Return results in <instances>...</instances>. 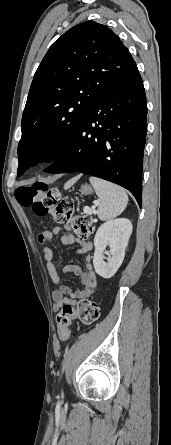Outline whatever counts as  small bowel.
Instances as JSON below:
<instances>
[{
	"label": "small bowel",
	"mask_w": 171,
	"mask_h": 445,
	"mask_svg": "<svg viewBox=\"0 0 171 445\" xmlns=\"http://www.w3.org/2000/svg\"><path fill=\"white\" fill-rule=\"evenodd\" d=\"M67 233L61 236V243L63 245H71L75 242V237L69 231V227L64 228ZM63 229L61 227H53L51 230L45 231L39 237L40 242H51L54 238L62 233ZM82 246L80 254L84 255V260L86 264V269H83L79 265L68 264L64 267L63 272L66 274H74L80 278L81 285L83 286L82 290L72 291L68 286H66L60 275L58 274L55 264H54V255L51 249L45 247L43 248V256L46 262L48 274L55 285L58 286V289L52 292V300L54 303V310L59 311L66 306H70L74 308L77 303V300L82 298H87L91 296L94 292L97 285L96 274L92 269L91 264V255L87 252L90 250L91 245L89 243L80 241ZM58 332L60 336L62 335V330L58 327ZM70 337V330L68 328L65 329L64 339H68Z\"/></svg>",
	"instance_id": "c3829d8e"
}]
</instances>
